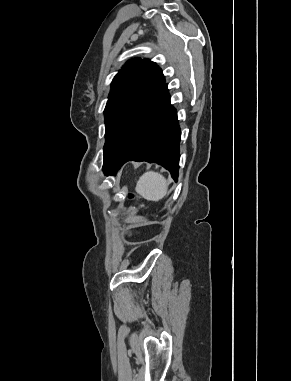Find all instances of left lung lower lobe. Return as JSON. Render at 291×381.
I'll list each match as a JSON object with an SVG mask.
<instances>
[{
	"mask_svg": "<svg viewBox=\"0 0 291 381\" xmlns=\"http://www.w3.org/2000/svg\"><path fill=\"white\" fill-rule=\"evenodd\" d=\"M180 136L176 110L170 104L166 85L146 104L104 159L103 171L108 175L128 161H147L162 165L177 180Z\"/></svg>",
	"mask_w": 291,
	"mask_h": 381,
	"instance_id": "1",
	"label": "left lung lower lobe"
}]
</instances>
